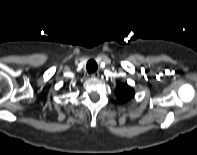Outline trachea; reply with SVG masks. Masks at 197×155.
Here are the masks:
<instances>
[{"mask_svg":"<svg viewBox=\"0 0 197 155\" xmlns=\"http://www.w3.org/2000/svg\"><path fill=\"white\" fill-rule=\"evenodd\" d=\"M86 68L88 73H94L97 70L98 66L94 60H89Z\"/></svg>","mask_w":197,"mask_h":155,"instance_id":"1","label":"trachea"}]
</instances>
